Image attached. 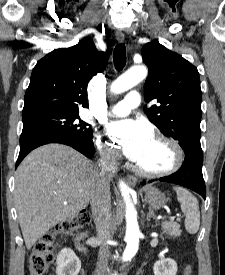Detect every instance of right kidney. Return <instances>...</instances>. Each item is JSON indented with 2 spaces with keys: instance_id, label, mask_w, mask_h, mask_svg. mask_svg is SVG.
<instances>
[{
  "instance_id": "ca27d5eb",
  "label": "right kidney",
  "mask_w": 225,
  "mask_h": 275,
  "mask_svg": "<svg viewBox=\"0 0 225 275\" xmlns=\"http://www.w3.org/2000/svg\"><path fill=\"white\" fill-rule=\"evenodd\" d=\"M56 275H78L81 261L70 248L62 249L56 259Z\"/></svg>"
}]
</instances>
